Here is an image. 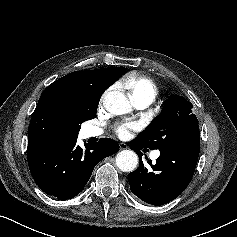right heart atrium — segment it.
Wrapping results in <instances>:
<instances>
[{
  "instance_id": "obj_1",
  "label": "right heart atrium",
  "mask_w": 237,
  "mask_h": 237,
  "mask_svg": "<svg viewBox=\"0 0 237 237\" xmlns=\"http://www.w3.org/2000/svg\"><path fill=\"white\" fill-rule=\"evenodd\" d=\"M108 92H109V90H107V91L105 92L104 96H105Z\"/></svg>"
}]
</instances>
